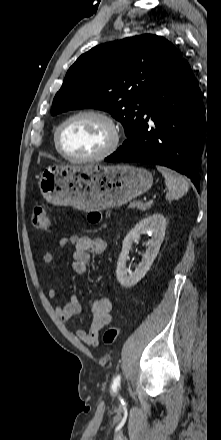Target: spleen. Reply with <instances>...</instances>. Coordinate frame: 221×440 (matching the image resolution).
I'll use <instances>...</instances> for the list:
<instances>
[{
    "label": "spleen",
    "instance_id": "1",
    "mask_svg": "<svg viewBox=\"0 0 221 440\" xmlns=\"http://www.w3.org/2000/svg\"><path fill=\"white\" fill-rule=\"evenodd\" d=\"M156 168L165 178L168 188L167 200L179 199L188 192L189 183L182 175L164 166H156Z\"/></svg>",
    "mask_w": 221,
    "mask_h": 440
}]
</instances>
